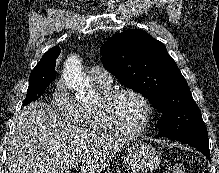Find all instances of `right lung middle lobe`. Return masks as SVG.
Segmentation results:
<instances>
[{"instance_id": "right-lung-middle-lobe-1", "label": "right lung middle lobe", "mask_w": 219, "mask_h": 173, "mask_svg": "<svg viewBox=\"0 0 219 173\" xmlns=\"http://www.w3.org/2000/svg\"><path fill=\"white\" fill-rule=\"evenodd\" d=\"M56 78V75L45 73L43 70L31 71L29 77V87L23 105H27L38 99L45 91L47 86Z\"/></svg>"}]
</instances>
